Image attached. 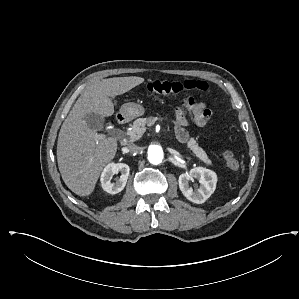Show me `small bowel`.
Wrapping results in <instances>:
<instances>
[{"label":"small bowel","instance_id":"obj_1","mask_svg":"<svg viewBox=\"0 0 299 299\" xmlns=\"http://www.w3.org/2000/svg\"><path fill=\"white\" fill-rule=\"evenodd\" d=\"M189 111L194 122L199 126H204L208 123L212 116V112L208 105L202 101H196L192 97L184 99L180 106L175 109V133L177 139L185 143L189 135L185 129L187 125L186 112Z\"/></svg>","mask_w":299,"mask_h":299}]
</instances>
